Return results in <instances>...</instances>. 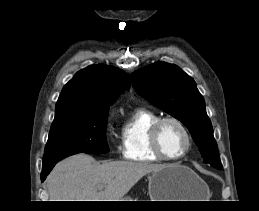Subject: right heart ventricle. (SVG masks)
<instances>
[{
	"mask_svg": "<svg viewBox=\"0 0 259 211\" xmlns=\"http://www.w3.org/2000/svg\"><path fill=\"white\" fill-rule=\"evenodd\" d=\"M156 112L140 107L135 109L121 127L122 154L131 161H159L150 142L153 125L160 119Z\"/></svg>",
	"mask_w": 259,
	"mask_h": 211,
	"instance_id": "e07e8e85",
	"label": "right heart ventricle"
}]
</instances>
